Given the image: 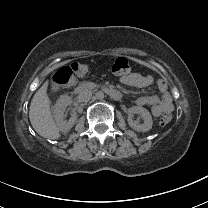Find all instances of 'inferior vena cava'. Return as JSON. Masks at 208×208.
Masks as SVG:
<instances>
[{"label":"inferior vena cava","mask_w":208,"mask_h":208,"mask_svg":"<svg viewBox=\"0 0 208 208\" xmlns=\"http://www.w3.org/2000/svg\"><path fill=\"white\" fill-rule=\"evenodd\" d=\"M91 97H92V92L91 91L82 90L79 93L78 100L81 101V102H87L91 99Z\"/></svg>","instance_id":"obj_1"}]
</instances>
